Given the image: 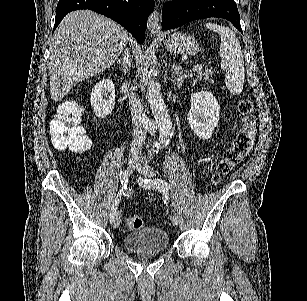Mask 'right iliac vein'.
Instances as JSON below:
<instances>
[{
  "mask_svg": "<svg viewBox=\"0 0 307 301\" xmlns=\"http://www.w3.org/2000/svg\"><path fill=\"white\" fill-rule=\"evenodd\" d=\"M135 167H136V159L134 157H130L127 163V175L128 176H131L133 174ZM120 222H121V214L118 212L115 215V218L113 221L114 228H118L120 226Z\"/></svg>",
  "mask_w": 307,
  "mask_h": 301,
  "instance_id": "1",
  "label": "right iliac vein"
}]
</instances>
